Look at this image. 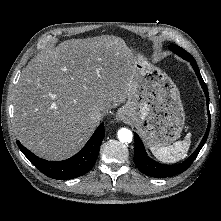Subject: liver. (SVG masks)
Returning a JSON list of instances; mask_svg holds the SVG:
<instances>
[{
    "mask_svg": "<svg viewBox=\"0 0 221 221\" xmlns=\"http://www.w3.org/2000/svg\"><path fill=\"white\" fill-rule=\"evenodd\" d=\"M132 50L117 36L71 39L37 53L22 71L14 97L18 140L47 160H64L89 140L111 103L129 93Z\"/></svg>",
    "mask_w": 221,
    "mask_h": 221,
    "instance_id": "6515ba94",
    "label": "liver"
}]
</instances>
